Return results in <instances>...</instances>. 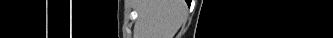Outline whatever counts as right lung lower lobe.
<instances>
[{"label": "right lung lower lobe", "mask_w": 333, "mask_h": 38, "mask_svg": "<svg viewBox=\"0 0 333 38\" xmlns=\"http://www.w3.org/2000/svg\"><path fill=\"white\" fill-rule=\"evenodd\" d=\"M186 2L188 3V5L190 4V1L186 0Z\"/></svg>", "instance_id": "obj_1"}]
</instances>
